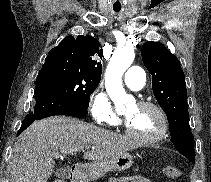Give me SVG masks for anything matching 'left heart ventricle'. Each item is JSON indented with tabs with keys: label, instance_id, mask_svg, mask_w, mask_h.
<instances>
[{
	"label": "left heart ventricle",
	"instance_id": "left-heart-ventricle-1",
	"mask_svg": "<svg viewBox=\"0 0 211 182\" xmlns=\"http://www.w3.org/2000/svg\"><path fill=\"white\" fill-rule=\"evenodd\" d=\"M124 116L131 131L139 137L149 138L160 130L161 121L153 109L135 104L127 109Z\"/></svg>",
	"mask_w": 211,
	"mask_h": 182
}]
</instances>
